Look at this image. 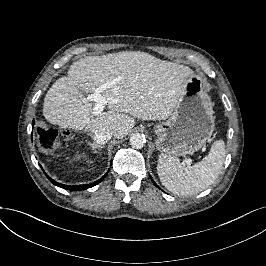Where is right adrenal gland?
<instances>
[{"label": "right adrenal gland", "instance_id": "obj_1", "mask_svg": "<svg viewBox=\"0 0 266 266\" xmlns=\"http://www.w3.org/2000/svg\"><path fill=\"white\" fill-rule=\"evenodd\" d=\"M88 145L91 146V148H92V152H93V153L98 152L97 149H103V148H104V146H100V145L97 144V143H89V142H88Z\"/></svg>", "mask_w": 266, "mask_h": 266}]
</instances>
